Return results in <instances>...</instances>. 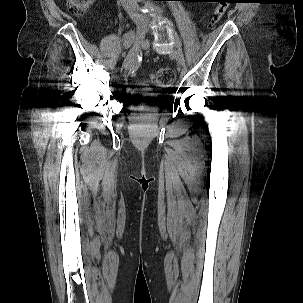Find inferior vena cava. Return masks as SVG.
Wrapping results in <instances>:
<instances>
[{
  "label": "inferior vena cava",
  "mask_w": 303,
  "mask_h": 303,
  "mask_svg": "<svg viewBox=\"0 0 303 303\" xmlns=\"http://www.w3.org/2000/svg\"><path fill=\"white\" fill-rule=\"evenodd\" d=\"M123 8L129 14V16L134 20L143 19L142 15L139 13L138 1L139 0H120Z\"/></svg>",
  "instance_id": "602c4592"
}]
</instances>
